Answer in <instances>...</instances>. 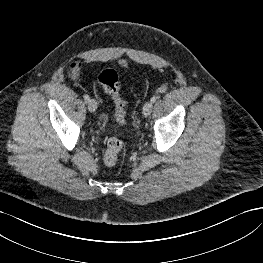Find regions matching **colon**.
<instances>
[{"label":"colon","mask_w":263,"mask_h":263,"mask_svg":"<svg viewBox=\"0 0 263 263\" xmlns=\"http://www.w3.org/2000/svg\"><path fill=\"white\" fill-rule=\"evenodd\" d=\"M98 81L113 100L116 121L124 125L126 122V101L120 94V82L117 73L111 68L104 69L99 74ZM123 149L122 140L116 137L109 138L103 154L104 163L107 166H115L122 157Z\"/></svg>","instance_id":"obj_1"}]
</instances>
